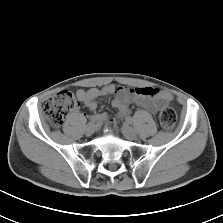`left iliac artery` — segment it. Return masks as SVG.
<instances>
[{"instance_id":"44dca946","label":"left iliac artery","mask_w":223,"mask_h":223,"mask_svg":"<svg viewBox=\"0 0 223 223\" xmlns=\"http://www.w3.org/2000/svg\"><path fill=\"white\" fill-rule=\"evenodd\" d=\"M127 122L129 124H133V125L135 124L134 120L131 117L127 118Z\"/></svg>"}]
</instances>
